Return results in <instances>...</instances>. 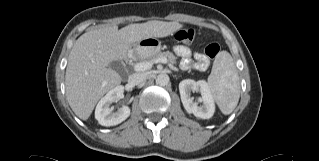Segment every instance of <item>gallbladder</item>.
<instances>
[{
  "instance_id": "obj_1",
  "label": "gallbladder",
  "mask_w": 319,
  "mask_h": 161,
  "mask_svg": "<svg viewBox=\"0 0 319 161\" xmlns=\"http://www.w3.org/2000/svg\"><path fill=\"white\" fill-rule=\"evenodd\" d=\"M109 67L117 72H119L120 74L123 73L124 70V66L120 61H113L110 63Z\"/></svg>"
}]
</instances>
